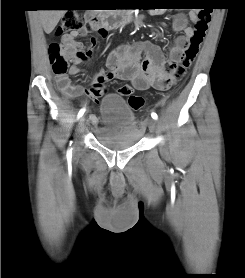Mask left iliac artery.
Returning <instances> with one entry per match:
<instances>
[{
    "mask_svg": "<svg viewBox=\"0 0 245 278\" xmlns=\"http://www.w3.org/2000/svg\"><path fill=\"white\" fill-rule=\"evenodd\" d=\"M151 117H152L153 119H157V118H158V116H157V114H156L155 112H152V113H151Z\"/></svg>",
    "mask_w": 245,
    "mask_h": 278,
    "instance_id": "44dca946",
    "label": "left iliac artery"
}]
</instances>
